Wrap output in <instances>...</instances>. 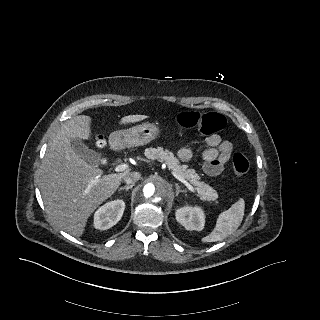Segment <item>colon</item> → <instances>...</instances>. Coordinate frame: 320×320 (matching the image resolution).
<instances>
[{
	"label": "colon",
	"mask_w": 320,
	"mask_h": 320,
	"mask_svg": "<svg viewBox=\"0 0 320 320\" xmlns=\"http://www.w3.org/2000/svg\"><path fill=\"white\" fill-rule=\"evenodd\" d=\"M176 120L180 127L187 130L199 131L203 134H211L217 131H221L225 128L226 125L225 117L217 112H182L177 115ZM95 143L97 146H102L103 138L101 136H96ZM232 166L234 173L238 177H243L248 173L250 163L243 154L236 153L233 156Z\"/></svg>",
	"instance_id": "obj_1"
}]
</instances>
